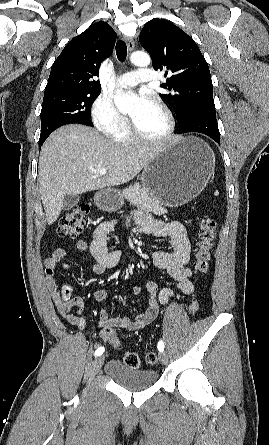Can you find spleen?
<instances>
[{
	"label": "spleen",
	"instance_id": "spleen-1",
	"mask_svg": "<svg viewBox=\"0 0 269 445\" xmlns=\"http://www.w3.org/2000/svg\"><path fill=\"white\" fill-rule=\"evenodd\" d=\"M214 195H215V196H218V195H219V192L216 190L215 193H214Z\"/></svg>",
	"mask_w": 269,
	"mask_h": 445
}]
</instances>
